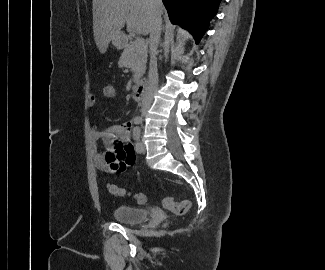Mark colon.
I'll list each match as a JSON object with an SVG mask.
<instances>
[{
    "instance_id": "1",
    "label": "colon",
    "mask_w": 325,
    "mask_h": 270,
    "mask_svg": "<svg viewBox=\"0 0 325 270\" xmlns=\"http://www.w3.org/2000/svg\"><path fill=\"white\" fill-rule=\"evenodd\" d=\"M102 96L106 100H114L117 97V90L113 84H106L102 88ZM109 191L117 196H130L132 195L129 191L125 190L124 188L118 187L116 185L110 184L108 185ZM134 199L139 204H144L147 201V197L143 193H135L133 194ZM163 207L176 214V215H183L185 214L191 207V202L189 200H181L177 201L173 197H166L163 200Z\"/></svg>"
}]
</instances>
